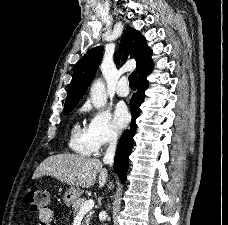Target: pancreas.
Instances as JSON below:
<instances>
[{
	"label": "pancreas",
	"instance_id": "1",
	"mask_svg": "<svg viewBox=\"0 0 228 225\" xmlns=\"http://www.w3.org/2000/svg\"><path fill=\"white\" fill-rule=\"evenodd\" d=\"M86 199H77V201H74L73 203V213L74 215H78L80 213L81 207H83V203H85ZM93 215L92 211H88L85 219H84V225H90V217Z\"/></svg>",
	"mask_w": 228,
	"mask_h": 225
}]
</instances>
